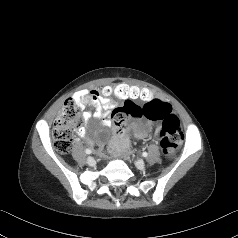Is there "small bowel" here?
<instances>
[{
  "label": "small bowel",
  "mask_w": 238,
  "mask_h": 238,
  "mask_svg": "<svg viewBox=\"0 0 238 238\" xmlns=\"http://www.w3.org/2000/svg\"><path fill=\"white\" fill-rule=\"evenodd\" d=\"M73 99L83 108L85 106H91V110H86L83 112V120L87 124L88 121L93 117L95 119H103V123L108 125V121L104 120L108 112L112 110L115 106V102L111 98H103L99 95L98 90H82L77 92ZM79 134H84V129H79ZM125 146L128 148L129 139L124 134L122 136Z\"/></svg>",
  "instance_id": "small-bowel-1"
}]
</instances>
